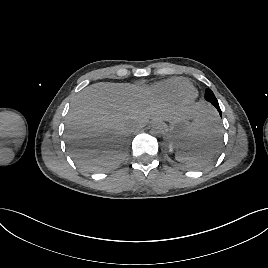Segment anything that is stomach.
Returning a JSON list of instances; mask_svg holds the SVG:
<instances>
[{
	"instance_id": "0dacf381",
	"label": "stomach",
	"mask_w": 268,
	"mask_h": 268,
	"mask_svg": "<svg viewBox=\"0 0 268 268\" xmlns=\"http://www.w3.org/2000/svg\"><path fill=\"white\" fill-rule=\"evenodd\" d=\"M160 125L170 140L171 147L178 149L182 145H187L190 142L193 123L189 121L188 117L178 116L170 120L168 125L163 121L160 122Z\"/></svg>"
}]
</instances>
